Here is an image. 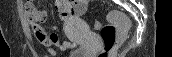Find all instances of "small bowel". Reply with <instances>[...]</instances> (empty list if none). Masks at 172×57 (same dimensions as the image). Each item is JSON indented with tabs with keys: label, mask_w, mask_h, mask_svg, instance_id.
I'll list each match as a JSON object with an SVG mask.
<instances>
[{
	"label": "small bowel",
	"mask_w": 172,
	"mask_h": 57,
	"mask_svg": "<svg viewBox=\"0 0 172 57\" xmlns=\"http://www.w3.org/2000/svg\"><path fill=\"white\" fill-rule=\"evenodd\" d=\"M87 0H74V1H56V9L58 17L63 22H69L75 16L81 15L87 6ZM43 2L38 1L35 5L33 1H26L24 6L26 10V20L29 24L36 40L42 48L54 53L53 46H57L61 51H66L75 46L70 40H63L57 32L56 27H52L51 32L47 33L46 30L41 26V23L45 22L47 13L43 10ZM33 7L37 13H29L28 9Z\"/></svg>",
	"instance_id": "obj_1"
}]
</instances>
